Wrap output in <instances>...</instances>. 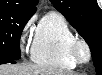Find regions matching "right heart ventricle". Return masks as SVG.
Here are the masks:
<instances>
[{
	"label": "right heart ventricle",
	"instance_id": "right-heart-ventricle-1",
	"mask_svg": "<svg viewBox=\"0 0 102 75\" xmlns=\"http://www.w3.org/2000/svg\"><path fill=\"white\" fill-rule=\"evenodd\" d=\"M76 38L66 18L58 11H49L38 23L31 58L37 63L72 68L76 60L71 46Z\"/></svg>",
	"mask_w": 102,
	"mask_h": 75
}]
</instances>
